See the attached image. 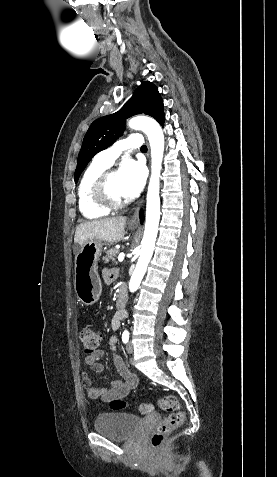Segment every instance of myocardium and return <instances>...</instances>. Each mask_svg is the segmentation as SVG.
<instances>
[{"label": "myocardium", "instance_id": "obj_1", "mask_svg": "<svg viewBox=\"0 0 277 477\" xmlns=\"http://www.w3.org/2000/svg\"><path fill=\"white\" fill-rule=\"evenodd\" d=\"M112 173H114L112 170H105L96 178L91 187L92 200L98 206L109 211L121 209L126 204L124 199H115L109 193L108 181Z\"/></svg>", "mask_w": 277, "mask_h": 477}]
</instances>
